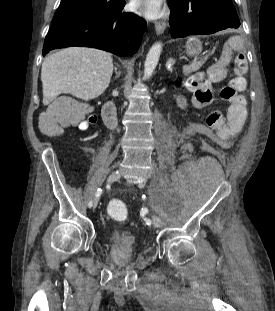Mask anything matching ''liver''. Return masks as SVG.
<instances>
[{"label": "liver", "mask_w": 275, "mask_h": 311, "mask_svg": "<svg viewBox=\"0 0 275 311\" xmlns=\"http://www.w3.org/2000/svg\"><path fill=\"white\" fill-rule=\"evenodd\" d=\"M113 73L111 54L99 49L70 47L46 57L42 63L43 104L60 94L88 101L109 86Z\"/></svg>", "instance_id": "obj_1"}]
</instances>
